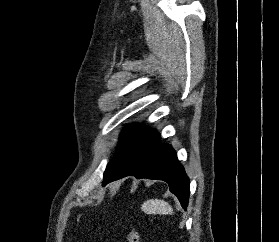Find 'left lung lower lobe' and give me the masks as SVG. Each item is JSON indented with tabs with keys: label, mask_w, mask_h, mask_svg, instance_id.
<instances>
[{
	"label": "left lung lower lobe",
	"mask_w": 279,
	"mask_h": 242,
	"mask_svg": "<svg viewBox=\"0 0 279 242\" xmlns=\"http://www.w3.org/2000/svg\"><path fill=\"white\" fill-rule=\"evenodd\" d=\"M129 175H134L139 179L166 181L169 184L170 192L178 197L182 207L188 206L189 178L171 145L158 143L134 162L120 178Z\"/></svg>",
	"instance_id": "1"
}]
</instances>
